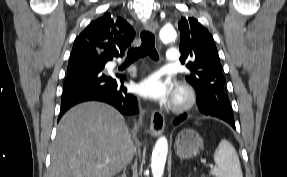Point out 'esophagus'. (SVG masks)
I'll list each match as a JSON object with an SVG mask.
<instances>
[{
    "instance_id": "obj_1",
    "label": "esophagus",
    "mask_w": 287,
    "mask_h": 177,
    "mask_svg": "<svg viewBox=\"0 0 287 177\" xmlns=\"http://www.w3.org/2000/svg\"><path fill=\"white\" fill-rule=\"evenodd\" d=\"M144 27L146 30L155 33L156 30L158 29V24L157 22L150 19L144 23ZM164 126H165L164 115L158 110H153L151 112V125H150L151 134L154 137L159 136L163 132Z\"/></svg>"
}]
</instances>
